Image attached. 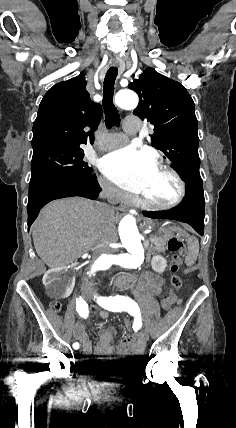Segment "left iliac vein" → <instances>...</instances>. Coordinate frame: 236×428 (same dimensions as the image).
<instances>
[{"label": "left iliac vein", "instance_id": "left-iliac-vein-1", "mask_svg": "<svg viewBox=\"0 0 236 428\" xmlns=\"http://www.w3.org/2000/svg\"><path fill=\"white\" fill-rule=\"evenodd\" d=\"M143 333H144L145 338L148 340V339L150 338V337H149L148 330H147V329H144V330H143Z\"/></svg>", "mask_w": 236, "mask_h": 428}]
</instances>
